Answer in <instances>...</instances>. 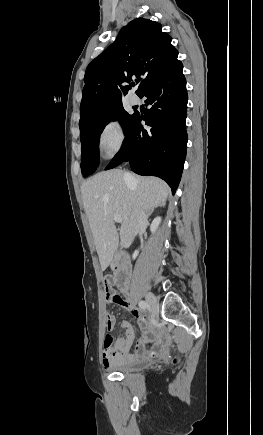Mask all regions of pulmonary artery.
<instances>
[{"label":"pulmonary artery","mask_w":263,"mask_h":435,"mask_svg":"<svg viewBox=\"0 0 263 435\" xmlns=\"http://www.w3.org/2000/svg\"><path fill=\"white\" fill-rule=\"evenodd\" d=\"M129 101H130V103H131L132 105H137V104L139 103L140 100H139L138 96H136V95H132V96L130 97Z\"/></svg>","instance_id":"1"}]
</instances>
